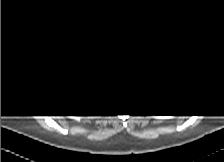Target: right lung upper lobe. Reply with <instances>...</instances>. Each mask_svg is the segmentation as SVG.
Instances as JSON below:
<instances>
[{
	"mask_svg": "<svg viewBox=\"0 0 224 162\" xmlns=\"http://www.w3.org/2000/svg\"><path fill=\"white\" fill-rule=\"evenodd\" d=\"M65 95H66V97H74V92H68V91H66L65 92Z\"/></svg>",
	"mask_w": 224,
	"mask_h": 162,
	"instance_id": "cb5924a9",
	"label": "right lung upper lobe"
}]
</instances>
